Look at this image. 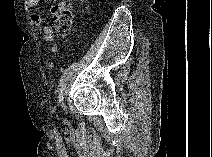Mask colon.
<instances>
[{"label": "colon", "instance_id": "colon-1", "mask_svg": "<svg viewBox=\"0 0 212 157\" xmlns=\"http://www.w3.org/2000/svg\"><path fill=\"white\" fill-rule=\"evenodd\" d=\"M52 21L56 32L60 35H68L72 28V12L67 2H57L51 9Z\"/></svg>", "mask_w": 212, "mask_h": 157}]
</instances>
